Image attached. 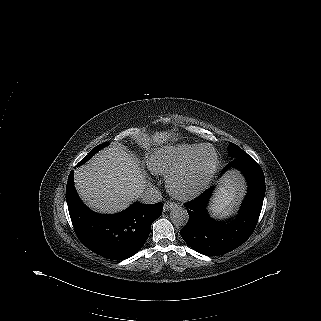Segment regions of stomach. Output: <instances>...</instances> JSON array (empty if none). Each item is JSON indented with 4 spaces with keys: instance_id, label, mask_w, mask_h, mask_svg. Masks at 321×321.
<instances>
[{
    "instance_id": "stomach-1",
    "label": "stomach",
    "mask_w": 321,
    "mask_h": 321,
    "mask_svg": "<svg viewBox=\"0 0 321 321\" xmlns=\"http://www.w3.org/2000/svg\"><path fill=\"white\" fill-rule=\"evenodd\" d=\"M222 188L228 192L226 198H228L231 202L234 201V198L237 196L238 191H240L239 186L229 178L225 180Z\"/></svg>"
}]
</instances>
